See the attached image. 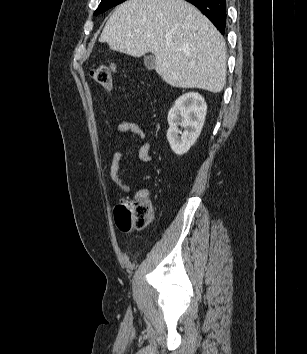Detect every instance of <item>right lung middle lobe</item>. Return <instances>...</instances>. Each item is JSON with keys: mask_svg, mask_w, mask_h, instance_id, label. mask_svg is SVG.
Instances as JSON below:
<instances>
[{"mask_svg": "<svg viewBox=\"0 0 307 354\" xmlns=\"http://www.w3.org/2000/svg\"><path fill=\"white\" fill-rule=\"evenodd\" d=\"M126 0H102L101 3L99 4L97 10L94 12V15H98L100 13L105 12L111 7H114Z\"/></svg>", "mask_w": 307, "mask_h": 354, "instance_id": "right-lung-middle-lobe-1", "label": "right lung middle lobe"}]
</instances>
